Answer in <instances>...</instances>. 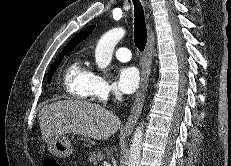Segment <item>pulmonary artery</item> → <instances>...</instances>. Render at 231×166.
Instances as JSON below:
<instances>
[{
	"instance_id": "e3ab8cb5",
	"label": "pulmonary artery",
	"mask_w": 231,
	"mask_h": 166,
	"mask_svg": "<svg viewBox=\"0 0 231 166\" xmlns=\"http://www.w3.org/2000/svg\"><path fill=\"white\" fill-rule=\"evenodd\" d=\"M115 55H116V58L122 62H127L131 59V52L126 47L118 48L115 52Z\"/></svg>"
}]
</instances>
